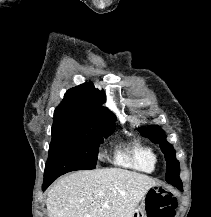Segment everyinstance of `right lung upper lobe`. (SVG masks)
<instances>
[{"mask_svg":"<svg viewBox=\"0 0 211 217\" xmlns=\"http://www.w3.org/2000/svg\"><path fill=\"white\" fill-rule=\"evenodd\" d=\"M106 101L103 91L91 82L69 89L61 104L54 111V123L115 127V117L102 104Z\"/></svg>","mask_w":211,"mask_h":217,"instance_id":"right-lung-upper-lobe-1","label":"right lung upper lobe"}]
</instances>
